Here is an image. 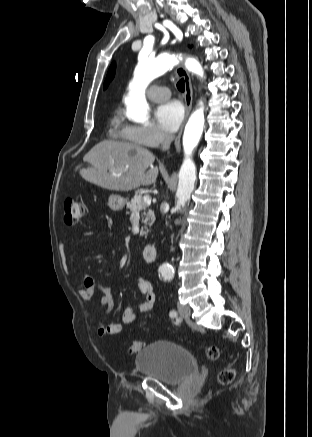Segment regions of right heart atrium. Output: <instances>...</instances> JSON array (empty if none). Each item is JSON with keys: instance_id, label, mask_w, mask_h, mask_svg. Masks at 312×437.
Wrapping results in <instances>:
<instances>
[{"instance_id": "1", "label": "right heart atrium", "mask_w": 312, "mask_h": 437, "mask_svg": "<svg viewBox=\"0 0 312 437\" xmlns=\"http://www.w3.org/2000/svg\"><path fill=\"white\" fill-rule=\"evenodd\" d=\"M125 138L134 143L156 147L168 141V136L155 125H129L126 127Z\"/></svg>"}]
</instances>
